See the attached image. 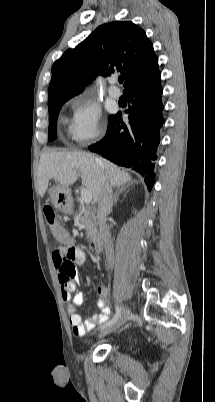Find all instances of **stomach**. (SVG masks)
<instances>
[{
  "label": "stomach",
  "mask_w": 215,
  "mask_h": 402,
  "mask_svg": "<svg viewBox=\"0 0 215 402\" xmlns=\"http://www.w3.org/2000/svg\"><path fill=\"white\" fill-rule=\"evenodd\" d=\"M51 203L65 214L72 212L71 190L69 187L57 184L49 191Z\"/></svg>",
  "instance_id": "stomach-1"
}]
</instances>
